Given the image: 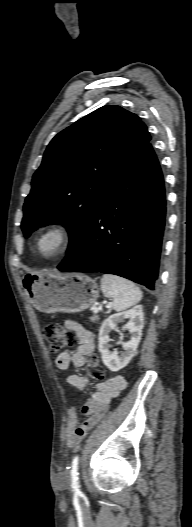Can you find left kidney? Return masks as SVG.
Listing matches in <instances>:
<instances>
[{
  "instance_id": "left-kidney-1",
  "label": "left kidney",
  "mask_w": 192,
  "mask_h": 527,
  "mask_svg": "<svg viewBox=\"0 0 192 527\" xmlns=\"http://www.w3.org/2000/svg\"><path fill=\"white\" fill-rule=\"evenodd\" d=\"M125 319L129 321L123 326V330L127 329L131 338L127 342L119 341L124 352L119 356L116 351L109 350V342L111 341L109 334L112 330L117 329V324L123 322ZM144 327V314L142 306L137 305L128 311L116 313L105 319L99 330L98 349L102 355V361L106 367L111 371L116 372L124 368L131 359L135 356L137 347L141 340L142 329Z\"/></svg>"
}]
</instances>
